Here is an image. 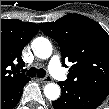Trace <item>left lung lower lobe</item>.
Masks as SVG:
<instances>
[{
	"instance_id": "1",
	"label": "left lung lower lobe",
	"mask_w": 109,
	"mask_h": 109,
	"mask_svg": "<svg viewBox=\"0 0 109 109\" xmlns=\"http://www.w3.org/2000/svg\"><path fill=\"white\" fill-rule=\"evenodd\" d=\"M62 89L60 98L52 102L54 109H95L107 97L69 81L59 82Z\"/></svg>"
}]
</instances>
